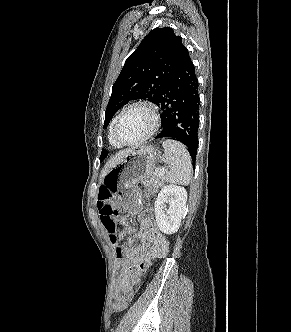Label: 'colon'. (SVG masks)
<instances>
[{"label":"colon","mask_w":291,"mask_h":332,"mask_svg":"<svg viewBox=\"0 0 291 332\" xmlns=\"http://www.w3.org/2000/svg\"><path fill=\"white\" fill-rule=\"evenodd\" d=\"M98 209L100 213L101 222L106 229L110 241L116 243L121 239V231L117 225L118 211L115 207L112 193L106 189L101 188L98 194ZM133 297V290L123 294L120 298L114 301L112 309L115 312L124 310Z\"/></svg>","instance_id":"obj_1"}]
</instances>
